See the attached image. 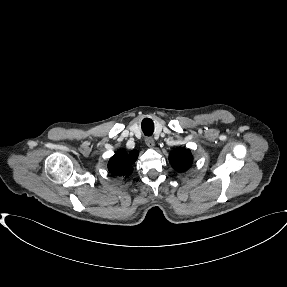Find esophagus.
<instances>
[{"instance_id": "1", "label": "esophagus", "mask_w": 287, "mask_h": 287, "mask_svg": "<svg viewBox=\"0 0 287 287\" xmlns=\"http://www.w3.org/2000/svg\"><path fill=\"white\" fill-rule=\"evenodd\" d=\"M145 143H146L147 146H149L151 148L154 147V145H155V142H154V140L151 137H146L145 138Z\"/></svg>"}]
</instances>
